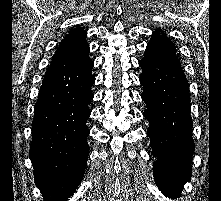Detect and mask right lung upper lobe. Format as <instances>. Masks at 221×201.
Instances as JSON below:
<instances>
[{
    "label": "right lung upper lobe",
    "instance_id": "1",
    "mask_svg": "<svg viewBox=\"0 0 221 201\" xmlns=\"http://www.w3.org/2000/svg\"><path fill=\"white\" fill-rule=\"evenodd\" d=\"M83 28L71 30L60 43L53 55L50 66L78 67L91 62L89 45Z\"/></svg>",
    "mask_w": 221,
    "mask_h": 201
}]
</instances>
